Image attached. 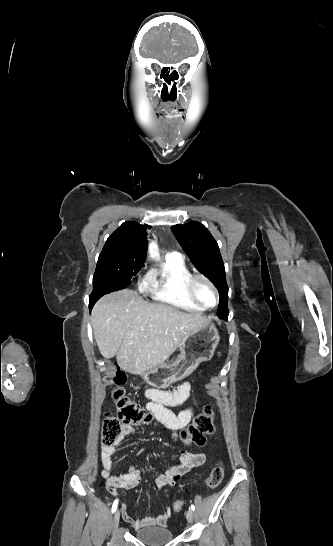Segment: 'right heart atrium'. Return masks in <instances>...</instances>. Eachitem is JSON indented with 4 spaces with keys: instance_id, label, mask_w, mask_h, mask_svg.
<instances>
[{
    "instance_id": "d8ad5b80",
    "label": "right heart atrium",
    "mask_w": 333,
    "mask_h": 546,
    "mask_svg": "<svg viewBox=\"0 0 333 546\" xmlns=\"http://www.w3.org/2000/svg\"><path fill=\"white\" fill-rule=\"evenodd\" d=\"M137 287L143 293H147V292L152 291V289H153V274H152V271L148 270L139 277V279L137 281Z\"/></svg>"
}]
</instances>
